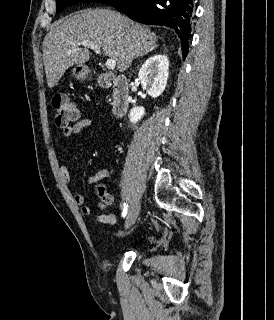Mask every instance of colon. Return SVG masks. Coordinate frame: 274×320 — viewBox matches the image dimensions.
Returning <instances> with one entry per match:
<instances>
[{
	"label": "colon",
	"instance_id": "5ec220e1",
	"mask_svg": "<svg viewBox=\"0 0 274 320\" xmlns=\"http://www.w3.org/2000/svg\"><path fill=\"white\" fill-rule=\"evenodd\" d=\"M52 107L54 109L53 120L56 125L65 129L66 127H72L74 120H79L80 114L77 105L70 102L65 93H57L52 99ZM94 188L98 193H103L105 188L104 182H95ZM103 201H110L109 195L102 194Z\"/></svg>",
	"mask_w": 274,
	"mask_h": 320
}]
</instances>
